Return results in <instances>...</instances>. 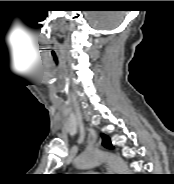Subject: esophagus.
Instances as JSON below:
<instances>
[{"mask_svg":"<svg viewBox=\"0 0 174 184\" xmlns=\"http://www.w3.org/2000/svg\"><path fill=\"white\" fill-rule=\"evenodd\" d=\"M103 167L106 169L107 172H111V169L107 165H104Z\"/></svg>","mask_w":174,"mask_h":184,"instance_id":"esophagus-1","label":"esophagus"}]
</instances>
